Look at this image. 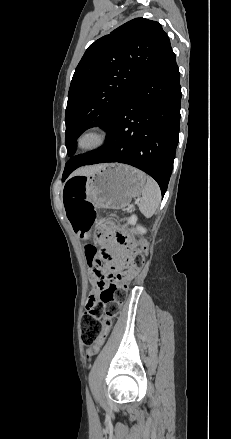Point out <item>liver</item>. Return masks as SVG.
<instances>
[{
    "instance_id": "6515ba94",
    "label": "liver",
    "mask_w": 231,
    "mask_h": 439,
    "mask_svg": "<svg viewBox=\"0 0 231 439\" xmlns=\"http://www.w3.org/2000/svg\"><path fill=\"white\" fill-rule=\"evenodd\" d=\"M104 166H105V164L79 168L71 176H76V175L88 176V175L96 172L97 170L101 169Z\"/></svg>"
}]
</instances>
